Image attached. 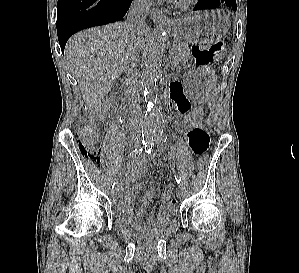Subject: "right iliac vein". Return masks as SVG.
<instances>
[{"label":"right iliac vein","mask_w":299,"mask_h":273,"mask_svg":"<svg viewBox=\"0 0 299 273\" xmlns=\"http://www.w3.org/2000/svg\"><path fill=\"white\" fill-rule=\"evenodd\" d=\"M136 146H137V143H134V142L131 143V147H136ZM111 194H113V191H111Z\"/></svg>","instance_id":"right-iliac-vein-1"}]
</instances>
